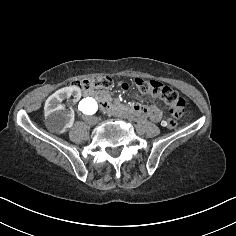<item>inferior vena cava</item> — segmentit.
I'll list each match as a JSON object with an SVG mask.
<instances>
[{
  "label": "inferior vena cava",
  "instance_id": "602c4592",
  "mask_svg": "<svg viewBox=\"0 0 236 236\" xmlns=\"http://www.w3.org/2000/svg\"><path fill=\"white\" fill-rule=\"evenodd\" d=\"M98 120H99L98 116H95L94 118H91V117L90 118H88V117L84 118V122L88 123L89 125H97Z\"/></svg>",
  "mask_w": 236,
  "mask_h": 236
}]
</instances>
